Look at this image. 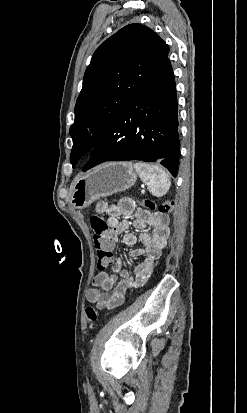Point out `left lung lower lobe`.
Here are the masks:
<instances>
[{"instance_id": "left-lung-lower-lobe-1", "label": "left lung lower lobe", "mask_w": 247, "mask_h": 413, "mask_svg": "<svg viewBox=\"0 0 247 413\" xmlns=\"http://www.w3.org/2000/svg\"><path fill=\"white\" fill-rule=\"evenodd\" d=\"M178 106L168 56L142 85L92 150L83 171L107 161L158 162L176 177L180 153Z\"/></svg>"}]
</instances>
